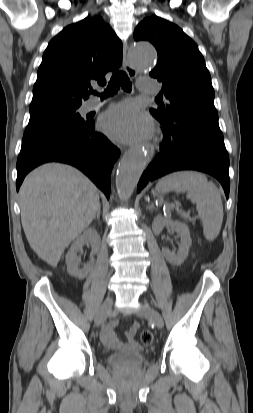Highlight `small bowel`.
<instances>
[{
	"label": "small bowel",
	"instance_id": "small-bowel-1",
	"mask_svg": "<svg viewBox=\"0 0 253 413\" xmlns=\"http://www.w3.org/2000/svg\"><path fill=\"white\" fill-rule=\"evenodd\" d=\"M116 322L111 323L101 329L100 338L102 342L109 348L121 349L124 347V343L119 340L114 332ZM138 330V324L133 323L125 333L126 343L129 346H136L135 335Z\"/></svg>",
	"mask_w": 253,
	"mask_h": 413
}]
</instances>
